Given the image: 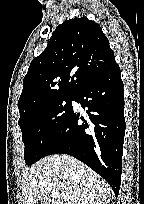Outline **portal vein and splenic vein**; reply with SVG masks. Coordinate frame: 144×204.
<instances>
[{"label": "portal vein and splenic vein", "mask_w": 144, "mask_h": 204, "mask_svg": "<svg viewBox=\"0 0 144 204\" xmlns=\"http://www.w3.org/2000/svg\"><path fill=\"white\" fill-rule=\"evenodd\" d=\"M52 196H56L59 194L58 190H52L51 191Z\"/></svg>", "instance_id": "portal-vein-and-splenic-vein-1"}]
</instances>
